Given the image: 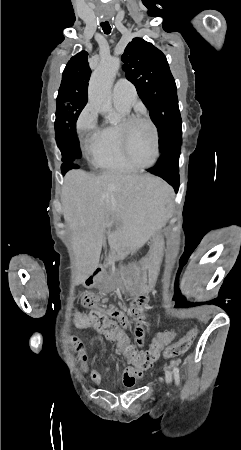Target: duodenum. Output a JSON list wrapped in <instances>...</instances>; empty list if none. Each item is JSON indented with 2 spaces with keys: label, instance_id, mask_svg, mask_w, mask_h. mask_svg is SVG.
<instances>
[{
  "label": "duodenum",
  "instance_id": "410a0bca",
  "mask_svg": "<svg viewBox=\"0 0 241 450\" xmlns=\"http://www.w3.org/2000/svg\"><path fill=\"white\" fill-rule=\"evenodd\" d=\"M104 275V271L101 268H95L94 270H92V272L90 273L88 279H87V283L89 285H96L98 283L101 282L102 278Z\"/></svg>",
  "mask_w": 241,
  "mask_h": 450
}]
</instances>
